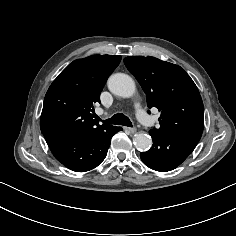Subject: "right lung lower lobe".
<instances>
[{
  "mask_svg": "<svg viewBox=\"0 0 236 236\" xmlns=\"http://www.w3.org/2000/svg\"><path fill=\"white\" fill-rule=\"evenodd\" d=\"M121 130V127L106 125L91 132L52 135L45 139L63 165L72 171L85 172L104 160L112 136Z\"/></svg>",
  "mask_w": 236,
  "mask_h": 236,
  "instance_id": "98d812e1",
  "label": "right lung lower lobe"
}]
</instances>
